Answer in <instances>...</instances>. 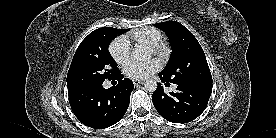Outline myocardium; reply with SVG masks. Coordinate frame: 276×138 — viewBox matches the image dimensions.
Instances as JSON below:
<instances>
[{
	"instance_id": "myocardium-1",
	"label": "myocardium",
	"mask_w": 276,
	"mask_h": 138,
	"mask_svg": "<svg viewBox=\"0 0 276 138\" xmlns=\"http://www.w3.org/2000/svg\"><path fill=\"white\" fill-rule=\"evenodd\" d=\"M152 48H153V51L159 55H163L166 52V47L163 43L153 45Z\"/></svg>"
}]
</instances>
